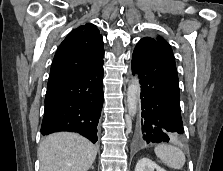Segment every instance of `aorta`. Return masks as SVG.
Here are the masks:
<instances>
[{
    "label": "aorta",
    "instance_id": "1",
    "mask_svg": "<svg viewBox=\"0 0 223 171\" xmlns=\"http://www.w3.org/2000/svg\"><path fill=\"white\" fill-rule=\"evenodd\" d=\"M140 93V84L138 77L132 78L127 89V108L129 116L133 117L137 112L138 96Z\"/></svg>",
    "mask_w": 223,
    "mask_h": 171
}]
</instances>
